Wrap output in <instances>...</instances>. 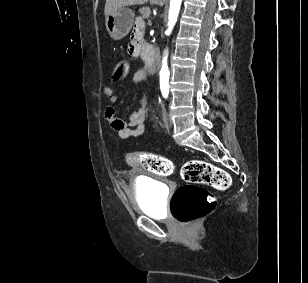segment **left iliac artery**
Segmentation results:
<instances>
[{
	"label": "left iliac artery",
	"instance_id": "left-iliac-artery-1",
	"mask_svg": "<svg viewBox=\"0 0 308 283\" xmlns=\"http://www.w3.org/2000/svg\"><path fill=\"white\" fill-rule=\"evenodd\" d=\"M164 95H167V93H164V92H163V96H164Z\"/></svg>",
	"mask_w": 308,
	"mask_h": 283
}]
</instances>
